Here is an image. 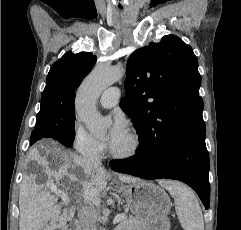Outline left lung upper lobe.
<instances>
[{
  "mask_svg": "<svg viewBox=\"0 0 241 230\" xmlns=\"http://www.w3.org/2000/svg\"><path fill=\"white\" fill-rule=\"evenodd\" d=\"M126 70L120 107L133 121L139 141L206 137L201 76L191 46L166 35L133 52Z\"/></svg>",
  "mask_w": 241,
  "mask_h": 230,
  "instance_id": "obj_1",
  "label": "left lung upper lobe"
}]
</instances>
